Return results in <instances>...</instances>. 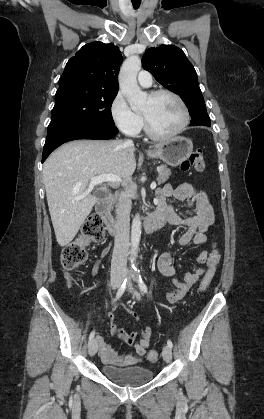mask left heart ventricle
<instances>
[{"label":"left heart ventricle","instance_id":"1","mask_svg":"<svg viewBox=\"0 0 264 419\" xmlns=\"http://www.w3.org/2000/svg\"><path fill=\"white\" fill-rule=\"evenodd\" d=\"M142 113L148 117L153 129L159 134L175 131L183 118L179 104L168 95L155 99L148 97Z\"/></svg>","mask_w":264,"mask_h":419}]
</instances>
